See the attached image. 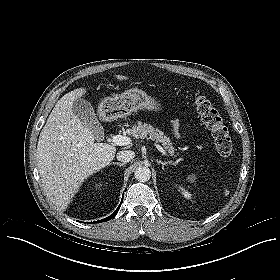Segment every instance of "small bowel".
I'll list each match as a JSON object with an SVG mask.
<instances>
[{
    "label": "small bowel",
    "mask_w": 280,
    "mask_h": 280,
    "mask_svg": "<svg viewBox=\"0 0 280 280\" xmlns=\"http://www.w3.org/2000/svg\"><path fill=\"white\" fill-rule=\"evenodd\" d=\"M172 128H173V131L176 135H178V128H179V123H178V120H173L172 123Z\"/></svg>",
    "instance_id": "c3829d8e"
}]
</instances>
